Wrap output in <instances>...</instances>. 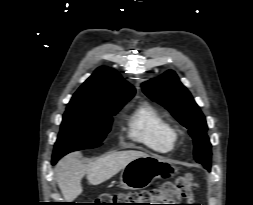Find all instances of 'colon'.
Masks as SVG:
<instances>
[{"mask_svg": "<svg viewBox=\"0 0 253 205\" xmlns=\"http://www.w3.org/2000/svg\"><path fill=\"white\" fill-rule=\"evenodd\" d=\"M196 188L191 174L174 181L165 182L155 188L129 194H103L99 205H180L182 199L190 198Z\"/></svg>", "mask_w": 253, "mask_h": 205, "instance_id": "5ec220e1", "label": "colon"}]
</instances>
